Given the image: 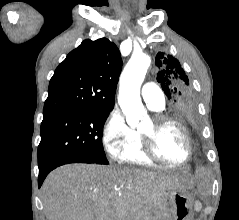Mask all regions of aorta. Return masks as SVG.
Segmentation results:
<instances>
[{
    "label": "aorta",
    "instance_id": "1",
    "mask_svg": "<svg viewBox=\"0 0 239 220\" xmlns=\"http://www.w3.org/2000/svg\"><path fill=\"white\" fill-rule=\"evenodd\" d=\"M150 62V57L146 54L134 55L121 75L118 102L126 115L127 123L132 127L147 116L141 102L140 87Z\"/></svg>",
    "mask_w": 239,
    "mask_h": 220
}]
</instances>
